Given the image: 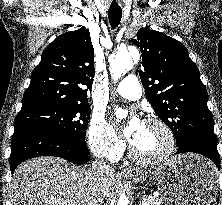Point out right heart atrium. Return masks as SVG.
Returning a JSON list of instances; mask_svg holds the SVG:
<instances>
[{"instance_id":"right-heart-atrium-1","label":"right heart atrium","mask_w":222,"mask_h":205,"mask_svg":"<svg viewBox=\"0 0 222 205\" xmlns=\"http://www.w3.org/2000/svg\"><path fill=\"white\" fill-rule=\"evenodd\" d=\"M87 143L92 153L103 160L114 161L123 151V143L103 116L93 115L87 130Z\"/></svg>"}]
</instances>
